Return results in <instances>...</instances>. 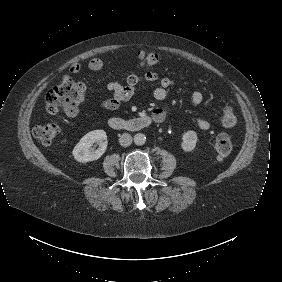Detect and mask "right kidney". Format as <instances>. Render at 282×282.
<instances>
[{"label":"right kidney","mask_w":282,"mask_h":282,"mask_svg":"<svg viewBox=\"0 0 282 282\" xmlns=\"http://www.w3.org/2000/svg\"><path fill=\"white\" fill-rule=\"evenodd\" d=\"M99 147L94 150L93 144ZM107 135L104 130H94L84 135L73 149V156L78 162L86 163L99 159L107 149Z\"/></svg>","instance_id":"1"}]
</instances>
